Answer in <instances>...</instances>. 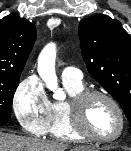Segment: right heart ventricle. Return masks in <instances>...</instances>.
<instances>
[{
  "label": "right heart ventricle",
  "mask_w": 131,
  "mask_h": 151,
  "mask_svg": "<svg viewBox=\"0 0 131 151\" xmlns=\"http://www.w3.org/2000/svg\"><path fill=\"white\" fill-rule=\"evenodd\" d=\"M63 85L69 95L68 100L54 101L50 105V119L46 134L53 139L69 142H78L84 140L73 129L69 110L70 99L84 90L82 81L63 80Z\"/></svg>",
  "instance_id": "right-heart-ventricle-1"
}]
</instances>
